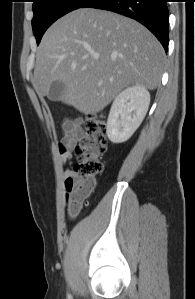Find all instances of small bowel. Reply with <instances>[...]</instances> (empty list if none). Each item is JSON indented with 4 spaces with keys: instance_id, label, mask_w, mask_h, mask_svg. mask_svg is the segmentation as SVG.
<instances>
[{
    "instance_id": "1",
    "label": "small bowel",
    "mask_w": 195,
    "mask_h": 299,
    "mask_svg": "<svg viewBox=\"0 0 195 299\" xmlns=\"http://www.w3.org/2000/svg\"><path fill=\"white\" fill-rule=\"evenodd\" d=\"M63 132H64V136L60 147V153H61L60 163L62 165H64L66 162H70L72 159V149L82 134L81 120L76 119V120L66 121L63 124ZM63 176L65 180V187L66 190L68 191L71 188L70 184L74 178L73 169L66 170ZM76 216H71V217H76Z\"/></svg>"
}]
</instances>
